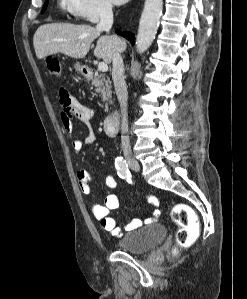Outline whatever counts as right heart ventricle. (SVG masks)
I'll return each instance as SVG.
<instances>
[{"mask_svg": "<svg viewBox=\"0 0 247 299\" xmlns=\"http://www.w3.org/2000/svg\"><path fill=\"white\" fill-rule=\"evenodd\" d=\"M59 6L64 12L74 14V0H59Z\"/></svg>", "mask_w": 247, "mask_h": 299, "instance_id": "right-heart-ventricle-1", "label": "right heart ventricle"}]
</instances>
